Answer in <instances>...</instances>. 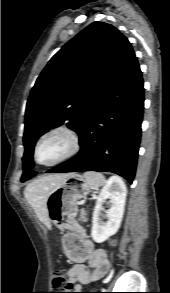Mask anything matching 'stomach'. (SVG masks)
Segmentation results:
<instances>
[{"mask_svg": "<svg viewBox=\"0 0 170 293\" xmlns=\"http://www.w3.org/2000/svg\"><path fill=\"white\" fill-rule=\"evenodd\" d=\"M90 189L84 176L77 173L67 174L49 193L47 211L50 222L58 228L73 229L78 213L77 203L86 198Z\"/></svg>", "mask_w": 170, "mask_h": 293, "instance_id": "stomach-1", "label": "stomach"}]
</instances>
